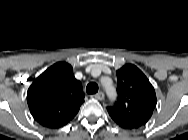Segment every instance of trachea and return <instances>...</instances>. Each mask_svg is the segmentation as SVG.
I'll list each match as a JSON object with an SVG mask.
<instances>
[{"instance_id": "obj_1", "label": "trachea", "mask_w": 188, "mask_h": 140, "mask_svg": "<svg viewBox=\"0 0 188 140\" xmlns=\"http://www.w3.org/2000/svg\"><path fill=\"white\" fill-rule=\"evenodd\" d=\"M86 92L88 94H95L98 92V85L94 82H91L86 87Z\"/></svg>"}]
</instances>
